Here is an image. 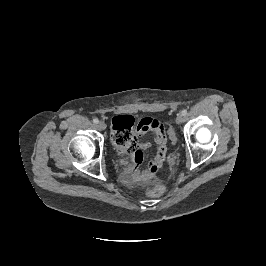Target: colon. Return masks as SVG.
<instances>
[{
    "label": "colon",
    "instance_id": "1",
    "mask_svg": "<svg viewBox=\"0 0 266 266\" xmlns=\"http://www.w3.org/2000/svg\"><path fill=\"white\" fill-rule=\"evenodd\" d=\"M146 193L150 197H160L165 193V187L160 184H155L148 187Z\"/></svg>",
    "mask_w": 266,
    "mask_h": 266
}]
</instances>
